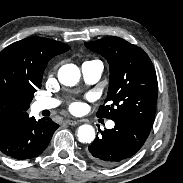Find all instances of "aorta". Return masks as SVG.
<instances>
[{"mask_svg": "<svg viewBox=\"0 0 183 183\" xmlns=\"http://www.w3.org/2000/svg\"><path fill=\"white\" fill-rule=\"evenodd\" d=\"M80 70L74 64L63 65L58 71V79L61 84L74 86L80 80ZM78 140L81 143H91L95 139V129L88 124L81 125L77 132Z\"/></svg>", "mask_w": 183, "mask_h": 183, "instance_id": "obj_1", "label": "aorta"}]
</instances>
